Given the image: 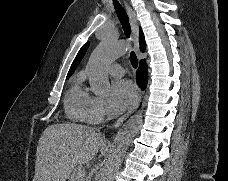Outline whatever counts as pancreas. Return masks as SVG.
Masks as SVG:
<instances>
[{"label": "pancreas", "instance_id": "cf45deb5", "mask_svg": "<svg viewBox=\"0 0 228 181\" xmlns=\"http://www.w3.org/2000/svg\"><path fill=\"white\" fill-rule=\"evenodd\" d=\"M80 175H86V173L84 169H81V167H76V169L72 171L69 181H84V177L81 179Z\"/></svg>", "mask_w": 228, "mask_h": 181}]
</instances>
